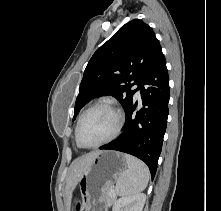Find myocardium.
<instances>
[{
  "instance_id": "obj_1",
  "label": "myocardium",
  "mask_w": 221,
  "mask_h": 211,
  "mask_svg": "<svg viewBox=\"0 0 221 211\" xmlns=\"http://www.w3.org/2000/svg\"><path fill=\"white\" fill-rule=\"evenodd\" d=\"M99 107L107 108L115 114V116H116L115 128H114L112 134L110 136H108L106 139H104L96 144H92V145L83 144L80 139V129H81L82 122H83L85 116L90 111H92L95 108H99ZM123 122H124L123 114H122L121 110L119 108H117L114 104L107 102V101L95 102L94 104L89 106L86 110H84L83 113L81 114V116L79 117V120H78V123L76 126V132H75L76 142L80 147L89 148V149L90 148H97V147L103 146L105 144H108L111 141H113L115 138H117V136L120 134L122 126H123Z\"/></svg>"
}]
</instances>
